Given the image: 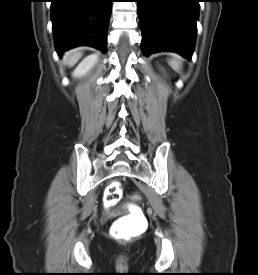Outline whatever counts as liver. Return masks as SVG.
Segmentation results:
<instances>
[{
    "instance_id": "6515ba94",
    "label": "liver",
    "mask_w": 258,
    "mask_h": 275,
    "mask_svg": "<svg viewBox=\"0 0 258 275\" xmlns=\"http://www.w3.org/2000/svg\"><path fill=\"white\" fill-rule=\"evenodd\" d=\"M82 56V51L80 48L72 49L65 53L63 57V62L65 65L71 67L73 66Z\"/></svg>"
}]
</instances>
